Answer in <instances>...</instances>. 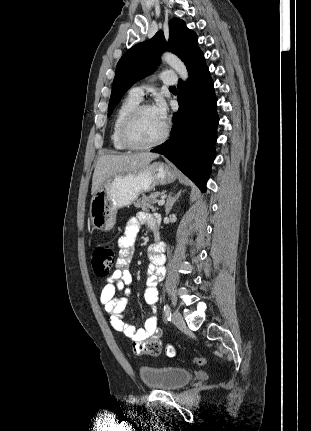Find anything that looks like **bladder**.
I'll return each instance as SVG.
<instances>
[{
  "instance_id": "1",
  "label": "bladder",
  "mask_w": 311,
  "mask_h": 431,
  "mask_svg": "<svg viewBox=\"0 0 311 431\" xmlns=\"http://www.w3.org/2000/svg\"><path fill=\"white\" fill-rule=\"evenodd\" d=\"M139 376L142 383L150 389L174 391L184 387L192 374L178 366H141Z\"/></svg>"
}]
</instances>
